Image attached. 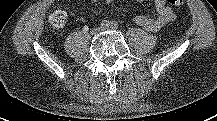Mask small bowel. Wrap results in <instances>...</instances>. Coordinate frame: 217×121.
<instances>
[{
	"label": "small bowel",
	"mask_w": 217,
	"mask_h": 121,
	"mask_svg": "<svg viewBox=\"0 0 217 121\" xmlns=\"http://www.w3.org/2000/svg\"><path fill=\"white\" fill-rule=\"evenodd\" d=\"M72 1V0H68ZM92 2H97L99 0H91ZM116 0H105L107 3H113ZM137 2H143L145 0H136ZM155 7L159 13L157 17H150L147 15H137L135 17V22L145 30L155 32L163 27L165 24L173 21L175 19V14L172 8L167 4V0H154ZM74 11L71 12L73 16Z\"/></svg>",
	"instance_id": "c3829d8e"
}]
</instances>
